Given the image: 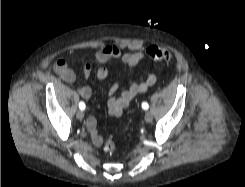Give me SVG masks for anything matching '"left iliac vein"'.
I'll use <instances>...</instances> for the list:
<instances>
[{
	"label": "left iliac vein",
	"mask_w": 245,
	"mask_h": 187,
	"mask_svg": "<svg viewBox=\"0 0 245 187\" xmlns=\"http://www.w3.org/2000/svg\"><path fill=\"white\" fill-rule=\"evenodd\" d=\"M152 119H153L152 112L149 111V110H147V111L145 112V121H146V122H151Z\"/></svg>",
	"instance_id": "4c4485c4"
}]
</instances>
